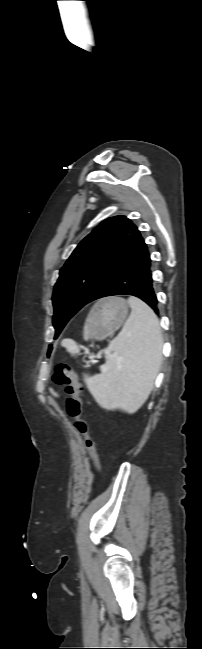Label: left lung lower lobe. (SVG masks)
<instances>
[{"label":"left lung lower lobe","instance_id":"0a47b994","mask_svg":"<svg viewBox=\"0 0 202 649\" xmlns=\"http://www.w3.org/2000/svg\"><path fill=\"white\" fill-rule=\"evenodd\" d=\"M151 269L152 261L147 245L139 234L119 263L99 286L93 300L113 295H133L142 299L156 314H159ZM51 349L52 347L49 346L48 353L51 352Z\"/></svg>","mask_w":202,"mask_h":649}]
</instances>
